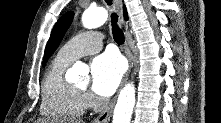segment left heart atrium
<instances>
[{
  "instance_id": "obj_1",
  "label": "left heart atrium",
  "mask_w": 221,
  "mask_h": 123,
  "mask_svg": "<svg viewBox=\"0 0 221 123\" xmlns=\"http://www.w3.org/2000/svg\"><path fill=\"white\" fill-rule=\"evenodd\" d=\"M124 73V63L115 53L106 52L91 62V89L100 96H110L119 85Z\"/></svg>"
}]
</instances>
